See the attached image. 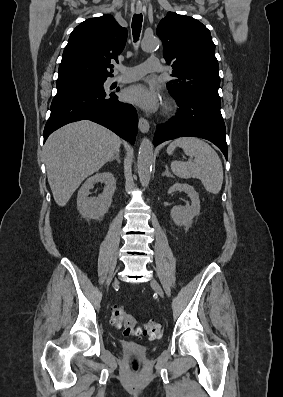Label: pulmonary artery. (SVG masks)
Listing matches in <instances>:
<instances>
[{"label": "pulmonary artery", "mask_w": 283, "mask_h": 397, "mask_svg": "<svg viewBox=\"0 0 283 397\" xmlns=\"http://www.w3.org/2000/svg\"><path fill=\"white\" fill-rule=\"evenodd\" d=\"M117 69L122 72L121 75L109 79V83H129L137 81L146 73H157L162 71L160 60L156 57H150L145 63L134 66H118Z\"/></svg>", "instance_id": "pulmonary-artery-1"}]
</instances>
